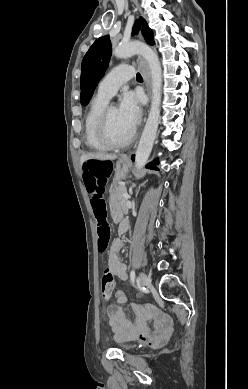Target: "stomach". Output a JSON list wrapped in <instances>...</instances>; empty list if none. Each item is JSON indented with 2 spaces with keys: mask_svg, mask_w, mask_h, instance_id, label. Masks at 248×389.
Masks as SVG:
<instances>
[{
  "mask_svg": "<svg viewBox=\"0 0 248 389\" xmlns=\"http://www.w3.org/2000/svg\"><path fill=\"white\" fill-rule=\"evenodd\" d=\"M115 171V182L111 185V190L113 191L110 196L109 204L111 207V215L113 220H123V211L120 209L119 201L114 191L122 189L123 184L121 181L124 179L129 171V162L124 159H119L114 167Z\"/></svg>",
  "mask_w": 248,
  "mask_h": 389,
  "instance_id": "0dacf381",
  "label": "stomach"
}]
</instances>
